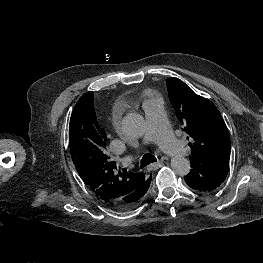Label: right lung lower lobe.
I'll use <instances>...</instances> for the list:
<instances>
[{"instance_id": "obj_1", "label": "right lung lower lobe", "mask_w": 263, "mask_h": 263, "mask_svg": "<svg viewBox=\"0 0 263 263\" xmlns=\"http://www.w3.org/2000/svg\"><path fill=\"white\" fill-rule=\"evenodd\" d=\"M150 182H151V180H150ZM150 182H148V184L144 187V189H143V195L147 192V190H148V188H149V186H150ZM116 209L125 210V209L122 208V207H116Z\"/></svg>"}]
</instances>
